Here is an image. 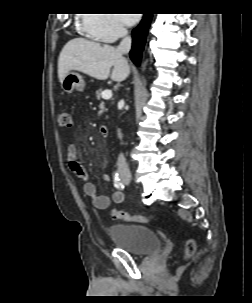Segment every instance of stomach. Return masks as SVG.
Wrapping results in <instances>:
<instances>
[{
    "instance_id": "stomach-1",
    "label": "stomach",
    "mask_w": 252,
    "mask_h": 303,
    "mask_svg": "<svg viewBox=\"0 0 252 303\" xmlns=\"http://www.w3.org/2000/svg\"><path fill=\"white\" fill-rule=\"evenodd\" d=\"M85 82L82 76L76 72H69L61 81V88L66 93H71L74 90L83 91Z\"/></svg>"
}]
</instances>
